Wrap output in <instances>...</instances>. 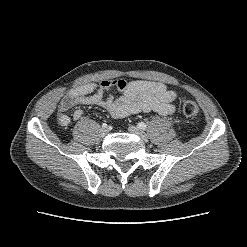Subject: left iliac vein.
Instances as JSON below:
<instances>
[{
  "instance_id": "4c4485c4",
  "label": "left iliac vein",
  "mask_w": 247,
  "mask_h": 247,
  "mask_svg": "<svg viewBox=\"0 0 247 247\" xmlns=\"http://www.w3.org/2000/svg\"><path fill=\"white\" fill-rule=\"evenodd\" d=\"M128 131L132 134L139 136L144 141L148 140V135L144 131L140 130L135 126H129Z\"/></svg>"
}]
</instances>
